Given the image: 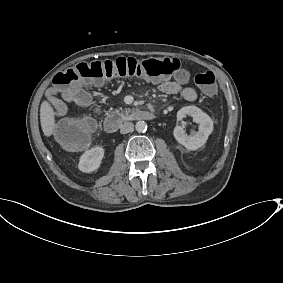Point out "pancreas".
I'll return each instance as SVG.
<instances>
[{
	"label": "pancreas",
	"mask_w": 283,
	"mask_h": 283,
	"mask_svg": "<svg viewBox=\"0 0 283 283\" xmlns=\"http://www.w3.org/2000/svg\"><path fill=\"white\" fill-rule=\"evenodd\" d=\"M113 113L118 114L123 121L132 120L135 116V110H131L130 108L118 107L113 110Z\"/></svg>",
	"instance_id": "pancreas-1"
}]
</instances>
